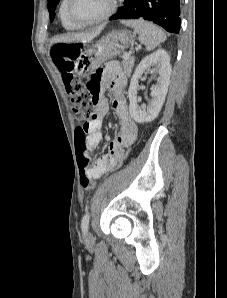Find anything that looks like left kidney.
Segmentation results:
<instances>
[{"mask_svg": "<svg viewBox=\"0 0 227 298\" xmlns=\"http://www.w3.org/2000/svg\"><path fill=\"white\" fill-rule=\"evenodd\" d=\"M152 66L158 69L159 77L157 78V84L151 89L152 99L148 105L139 106L137 100L138 82L144 71ZM170 75V56L164 49H158L139 63L128 89L129 111L136 122H149L158 116L168 91Z\"/></svg>", "mask_w": 227, "mask_h": 298, "instance_id": "obj_1", "label": "left kidney"}]
</instances>
